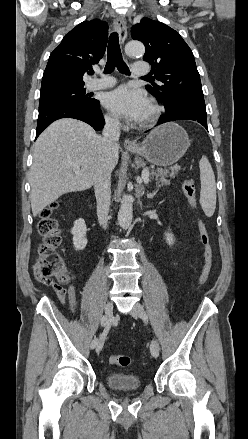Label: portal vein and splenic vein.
Returning <instances> with one entry per match:
<instances>
[{"label": "portal vein and splenic vein", "mask_w": 248, "mask_h": 439, "mask_svg": "<svg viewBox=\"0 0 248 439\" xmlns=\"http://www.w3.org/2000/svg\"><path fill=\"white\" fill-rule=\"evenodd\" d=\"M68 165L72 166L76 170L80 169V165L77 163H68ZM141 178H142V181H144V183L147 184L149 182V170L148 169L143 170Z\"/></svg>", "instance_id": "18ae733b"}]
</instances>
